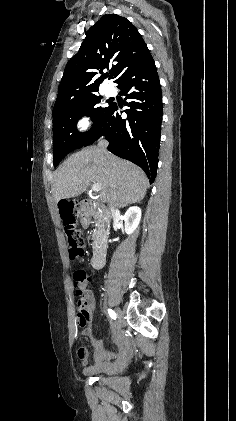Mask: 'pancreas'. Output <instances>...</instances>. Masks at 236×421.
<instances>
[{"mask_svg":"<svg viewBox=\"0 0 236 421\" xmlns=\"http://www.w3.org/2000/svg\"><path fill=\"white\" fill-rule=\"evenodd\" d=\"M94 217V233L92 235V247L93 251H95L96 243H99L101 239H104L105 235L109 233V227L105 223V217L102 211H97V213H92Z\"/></svg>","mask_w":236,"mask_h":421,"instance_id":"cf45deb5","label":"pancreas"}]
</instances>
